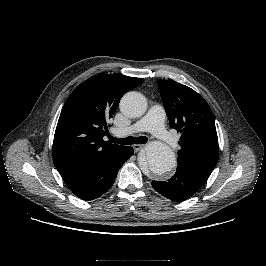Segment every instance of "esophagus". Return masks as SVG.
<instances>
[{"label":"esophagus","mask_w":266,"mask_h":266,"mask_svg":"<svg viewBox=\"0 0 266 266\" xmlns=\"http://www.w3.org/2000/svg\"><path fill=\"white\" fill-rule=\"evenodd\" d=\"M144 147V145H140V144H135L133 145V149L135 152H138L139 150H141Z\"/></svg>","instance_id":"34e87169"}]
</instances>
